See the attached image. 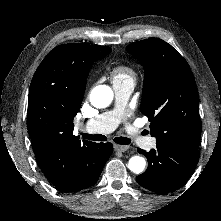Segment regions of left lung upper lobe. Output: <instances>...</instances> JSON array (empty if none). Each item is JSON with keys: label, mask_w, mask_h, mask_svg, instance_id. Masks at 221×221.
I'll return each mask as SVG.
<instances>
[{"label": "left lung upper lobe", "mask_w": 221, "mask_h": 221, "mask_svg": "<svg viewBox=\"0 0 221 221\" xmlns=\"http://www.w3.org/2000/svg\"><path fill=\"white\" fill-rule=\"evenodd\" d=\"M127 51L145 69L140 110L151 122L156 144L198 149V90L186 60L159 38L132 43Z\"/></svg>", "instance_id": "obj_1"}]
</instances>
